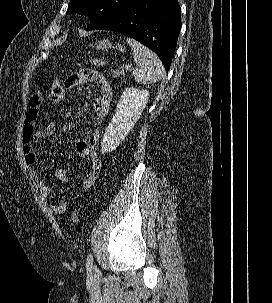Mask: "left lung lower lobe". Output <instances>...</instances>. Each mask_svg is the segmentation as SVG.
<instances>
[{"mask_svg": "<svg viewBox=\"0 0 272 303\" xmlns=\"http://www.w3.org/2000/svg\"><path fill=\"white\" fill-rule=\"evenodd\" d=\"M96 29L125 34L153 50L169 70L181 29L178 0H139Z\"/></svg>", "mask_w": 272, "mask_h": 303, "instance_id": "0a47b994", "label": "left lung lower lobe"}]
</instances>
